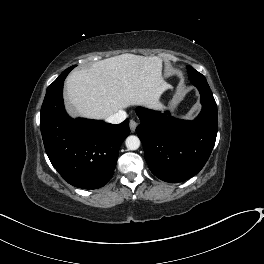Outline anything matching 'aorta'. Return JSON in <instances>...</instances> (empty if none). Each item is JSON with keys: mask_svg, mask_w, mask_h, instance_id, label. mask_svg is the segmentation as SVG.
I'll list each match as a JSON object with an SVG mask.
<instances>
[{"mask_svg": "<svg viewBox=\"0 0 264 264\" xmlns=\"http://www.w3.org/2000/svg\"><path fill=\"white\" fill-rule=\"evenodd\" d=\"M126 147L129 150H137L140 147V140L137 136H128L125 141Z\"/></svg>", "mask_w": 264, "mask_h": 264, "instance_id": "1", "label": "aorta"}]
</instances>
